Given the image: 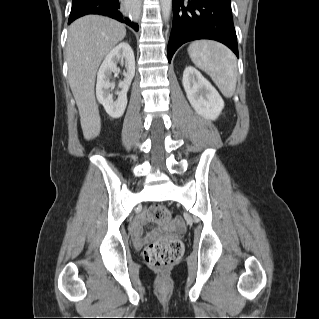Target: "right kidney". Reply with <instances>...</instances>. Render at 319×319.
I'll return each mask as SVG.
<instances>
[{"mask_svg":"<svg viewBox=\"0 0 319 319\" xmlns=\"http://www.w3.org/2000/svg\"><path fill=\"white\" fill-rule=\"evenodd\" d=\"M125 62L126 70L124 71V80L120 81L118 87L120 91L116 94L115 99L110 93V88L114 83L110 81L112 73L117 74L119 68L117 64ZM135 75V57L132 48L126 42H122L114 47L105 57L97 74L96 96L112 118H120L127 106V92L131 85V81Z\"/></svg>","mask_w":319,"mask_h":319,"instance_id":"ca27d5eb","label":"right kidney"}]
</instances>
